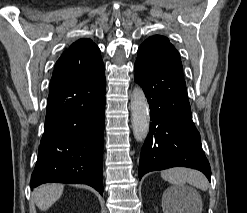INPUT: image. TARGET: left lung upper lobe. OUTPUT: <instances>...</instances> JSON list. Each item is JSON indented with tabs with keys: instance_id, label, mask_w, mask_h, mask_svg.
<instances>
[{
	"instance_id": "5c2ea615",
	"label": "left lung upper lobe",
	"mask_w": 247,
	"mask_h": 213,
	"mask_svg": "<svg viewBox=\"0 0 247 213\" xmlns=\"http://www.w3.org/2000/svg\"><path fill=\"white\" fill-rule=\"evenodd\" d=\"M162 57L181 61L178 51L164 36H151L138 49L137 60L150 61Z\"/></svg>"
}]
</instances>
